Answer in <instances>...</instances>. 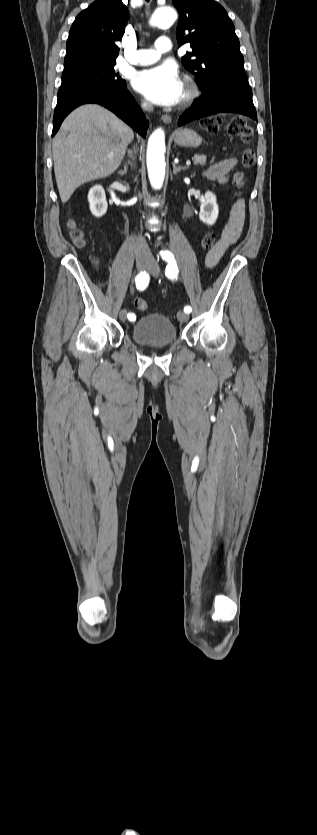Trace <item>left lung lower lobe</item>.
<instances>
[{"label": "left lung lower lobe", "mask_w": 317, "mask_h": 835, "mask_svg": "<svg viewBox=\"0 0 317 835\" xmlns=\"http://www.w3.org/2000/svg\"><path fill=\"white\" fill-rule=\"evenodd\" d=\"M220 82L216 89L203 92L194 101L192 108L179 118V126L216 113H237L257 120L252 90L246 75L221 78Z\"/></svg>", "instance_id": "obj_1"}]
</instances>
